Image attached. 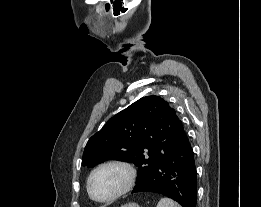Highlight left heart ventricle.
<instances>
[{"mask_svg":"<svg viewBox=\"0 0 261 207\" xmlns=\"http://www.w3.org/2000/svg\"><path fill=\"white\" fill-rule=\"evenodd\" d=\"M126 172L119 167H106L98 171L92 180V190L99 199H106L123 188Z\"/></svg>","mask_w":261,"mask_h":207,"instance_id":"b2bd125f","label":"left heart ventricle"}]
</instances>
